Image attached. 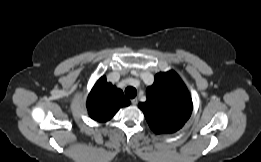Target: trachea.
Returning a JSON list of instances; mask_svg holds the SVG:
<instances>
[{"label": "trachea", "instance_id": "obj_1", "mask_svg": "<svg viewBox=\"0 0 261 162\" xmlns=\"http://www.w3.org/2000/svg\"><path fill=\"white\" fill-rule=\"evenodd\" d=\"M125 95L130 98V99H133L136 97L137 95V90L133 87H127L125 89Z\"/></svg>", "mask_w": 261, "mask_h": 162}]
</instances>
